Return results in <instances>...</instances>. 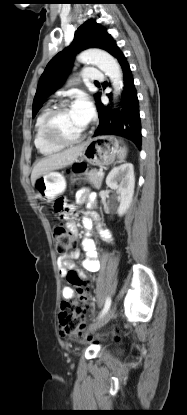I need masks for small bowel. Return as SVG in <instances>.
<instances>
[{
    "label": "small bowel",
    "mask_w": 187,
    "mask_h": 415,
    "mask_svg": "<svg viewBox=\"0 0 187 415\" xmlns=\"http://www.w3.org/2000/svg\"><path fill=\"white\" fill-rule=\"evenodd\" d=\"M77 198L79 201H87L89 199V190L87 188H82L78 191ZM90 217L94 220L97 219L96 212H91ZM84 224L86 227H90L91 221L89 217L84 218ZM68 228L74 233L77 234V228L73 222L68 223ZM100 234L102 238L111 242V236L106 230L100 229ZM83 248L86 252L85 259L83 260V268L86 272L95 273L100 268V262L96 252V246L93 240L90 238H85L83 240ZM80 255L78 249H74L66 255L60 256L58 258L59 274L62 277H65L70 271L77 272L81 277L84 276V272L77 269L74 260L77 259ZM62 297L65 299H72L75 297V290L72 286H64L62 288Z\"/></svg>",
    "instance_id": "small-bowel-1"
}]
</instances>
